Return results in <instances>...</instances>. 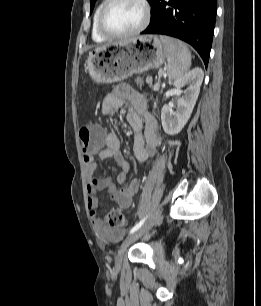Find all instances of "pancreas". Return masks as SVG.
Returning a JSON list of instances; mask_svg holds the SVG:
<instances>
[{
	"mask_svg": "<svg viewBox=\"0 0 261 306\" xmlns=\"http://www.w3.org/2000/svg\"><path fill=\"white\" fill-rule=\"evenodd\" d=\"M146 83L149 85V87H152L151 83H152V80L150 79H147L146 80ZM160 88V83L157 82L156 85L153 87L154 91H158Z\"/></svg>",
	"mask_w": 261,
	"mask_h": 306,
	"instance_id": "obj_1",
	"label": "pancreas"
}]
</instances>
